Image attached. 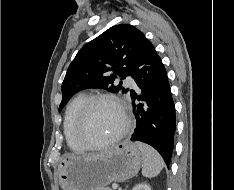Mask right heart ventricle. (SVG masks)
I'll list each match as a JSON object with an SVG mask.
<instances>
[{
    "instance_id": "1",
    "label": "right heart ventricle",
    "mask_w": 234,
    "mask_h": 190,
    "mask_svg": "<svg viewBox=\"0 0 234 190\" xmlns=\"http://www.w3.org/2000/svg\"><path fill=\"white\" fill-rule=\"evenodd\" d=\"M87 97L88 95L86 94H79L74 97L70 101L65 112L63 129L66 142L69 148L76 152H82L86 150V147L78 140L75 128L79 111Z\"/></svg>"
}]
</instances>
